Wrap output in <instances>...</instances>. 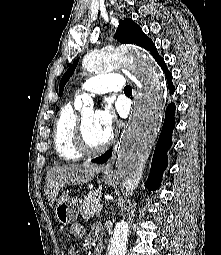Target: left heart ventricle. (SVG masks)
Masks as SVG:
<instances>
[{
    "mask_svg": "<svg viewBox=\"0 0 221 255\" xmlns=\"http://www.w3.org/2000/svg\"><path fill=\"white\" fill-rule=\"evenodd\" d=\"M83 120L88 144L92 147L101 146L108 139L110 133L99 124L96 113L93 111H87L83 116Z\"/></svg>",
    "mask_w": 221,
    "mask_h": 255,
    "instance_id": "obj_1",
    "label": "left heart ventricle"
}]
</instances>
